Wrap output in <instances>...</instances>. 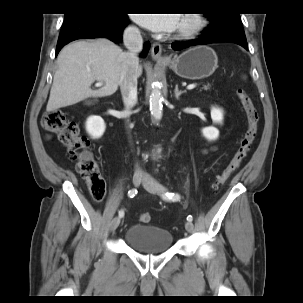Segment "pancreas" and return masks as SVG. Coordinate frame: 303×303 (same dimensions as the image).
I'll return each mask as SVG.
<instances>
[{"label":"pancreas","instance_id":"1","mask_svg":"<svg viewBox=\"0 0 303 303\" xmlns=\"http://www.w3.org/2000/svg\"><path fill=\"white\" fill-rule=\"evenodd\" d=\"M205 90H208L209 88H210V85L209 84H207V85H204V87H203Z\"/></svg>","mask_w":303,"mask_h":303}]
</instances>
